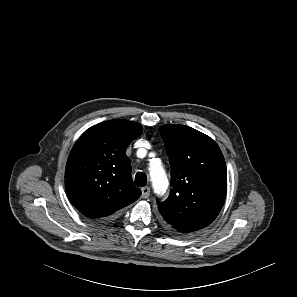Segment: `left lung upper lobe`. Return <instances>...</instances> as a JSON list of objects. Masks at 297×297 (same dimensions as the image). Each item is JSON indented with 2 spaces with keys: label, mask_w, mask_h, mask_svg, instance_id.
<instances>
[{
  "label": "left lung upper lobe",
  "mask_w": 297,
  "mask_h": 297,
  "mask_svg": "<svg viewBox=\"0 0 297 297\" xmlns=\"http://www.w3.org/2000/svg\"><path fill=\"white\" fill-rule=\"evenodd\" d=\"M171 164V193L158 208L169 228L187 234L208 226L226 197L223 154L209 136L185 125H162Z\"/></svg>",
  "instance_id": "5c2ea615"
}]
</instances>
